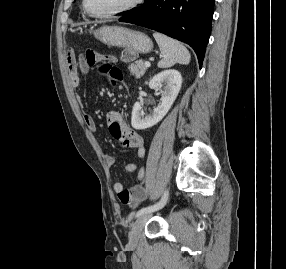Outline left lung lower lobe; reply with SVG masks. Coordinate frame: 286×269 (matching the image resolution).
<instances>
[{
  "instance_id": "obj_1",
  "label": "left lung lower lobe",
  "mask_w": 286,
  "mask_h": 269,
  "mask_svg": "<svg viewBox=\"0 0 286 269\" xmlns=\"http://www.w3.org/2000/svg\"><path fill=\"white\" fill-rule=\"evenodd\" d=\"M213 12L214 0H149L119 21L153 29L189 44L201 68Z\"/></svg>"
}]
</instances>
